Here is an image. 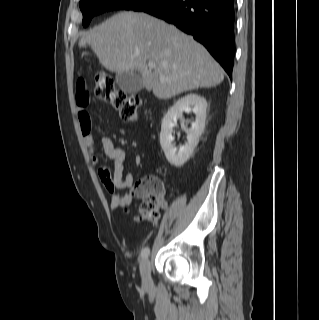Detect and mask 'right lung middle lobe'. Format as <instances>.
Returning <instances> with one entry per match:
<instances>
[{
	"label": "right lung middle lobe",
	"mask_w": 319,
	"mask_h": 320,
	"mask_svg": "<svg viewBox=\"0 0 319 320\" xmlns=\"http://www.w3.org/2000/svg\"><path fill=\"white\" fill-rule=\"evenodd\" d=\"M153 0H81L80 9L83 13V26L86 27L93 16L105 11L126 9L137 10Z\"/></svg>",
	"instance_id": "1"
}]
</instances>
